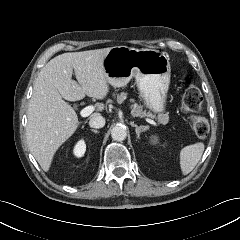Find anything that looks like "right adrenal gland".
<instances>
[{"label": "right adrenal gland", "instance_id": "obj_1", "mask_svg": "<svg viewBox=\"0 0 240 240\" xmlns=\"http://www.w3.org/2000/svg\"><path fill=\"white\" fill-rule=\"evenodd\" d=\"M91 131L93 132V133H99L97 130H94V129H91Z\"/></svg>", "mask_w": 240, "mask_h": 240}]
</instances>
